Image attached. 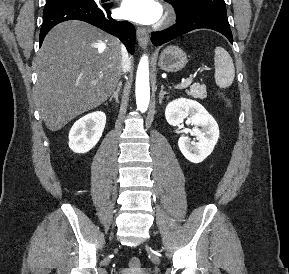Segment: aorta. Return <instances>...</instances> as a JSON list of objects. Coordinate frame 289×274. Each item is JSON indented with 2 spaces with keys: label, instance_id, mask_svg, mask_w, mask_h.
<instances>
[{
  "label": "aorta",
  "instance_id": "762f6f07",
  "mask_svg": "<svg viewBox=\"0 0 289 274\" xmlns=\"http://www.w3.org/2000/svg\"><path fill=\"white\" fill-rule=\"evenodd\" d=\"M150 102L149 62L148 57L143 56L139 62L136 74V103L141 112L148 109Z\"/></svg>",
  "mask_w": 289,
  "mask_h": 274
}]
</instances>
